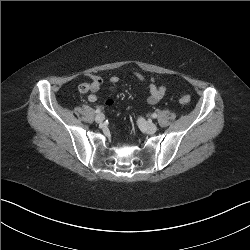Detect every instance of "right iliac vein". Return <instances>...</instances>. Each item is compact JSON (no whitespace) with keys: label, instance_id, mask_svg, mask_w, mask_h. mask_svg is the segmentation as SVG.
<instances>
[{"label":"right iliac vein","instance_id":"right-iliac-vein-1","mask_svg":"<svg viewBox=\"0 0 250 250\" xmlns=\"http://www.w3.org/2000/svg\"><path fill=\"white\" fill-rule=\"evenodd\" d=\"M105 117L103 114H98L96 117H95V121L97 123H102L104 121Z\"/></svg>","mask_w":250,"mask_h":250}]
</instances>
